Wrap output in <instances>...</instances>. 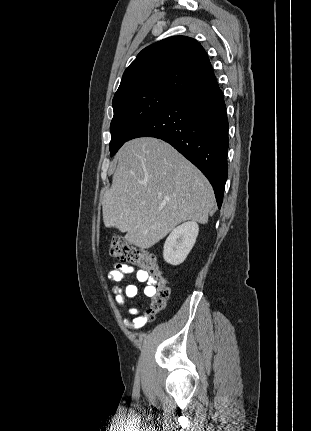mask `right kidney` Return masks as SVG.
Masks as SVG:
<instances>
[{
  "mask_svg": "<svg viewBox=\"0 0 311 431\" xmlns=\"http://www.w3.org/2000/svg\"><path fill=\"white\" fill-rule=\"evenodd\" d=\"M198 233L199 225L196 221H185V223L177 225L169 233L164 243L163 257L165 261L172 263V265L182 263L191 251Z\"/></svg>",
  "mask_w": 311,
  "mask_h": 431,
  "instance_id": "1",
  "label": "right kidney"
}]
</instances>
